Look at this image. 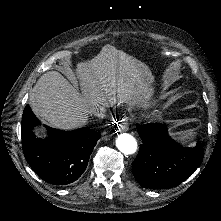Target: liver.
I'll list each match as a JSON object with an SVG mask.
<instances>
[{"mask_svg":"<svg viewBox=\"0 0 221 221\" xmlns=\"http://www.w3.org/2000/svg\"><path fill=\"white\" fill-rule=\"evenodd\" d=\"M112 49L106 45L91 61L77 65L83 95L60 72L44 73L29 96L34 114L55 128L72 130L84 126L91 109L97 105L113 106L117 101L133 100L131 94H135V79L140 73L114 61ZM39 132L35 129L37 136H41Z\"/></svg>","mask_w":221,"mask_h":221,"instance_id":"liver-1","label":"liver"}]
</instances>
